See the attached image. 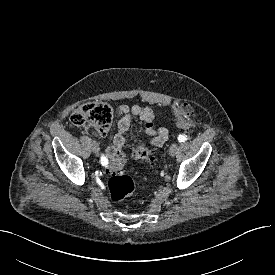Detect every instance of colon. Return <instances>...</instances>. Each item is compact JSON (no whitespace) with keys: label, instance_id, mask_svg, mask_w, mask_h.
<instances>
[{"label":"colon","instance_id":"obj_1","mask_svg":"<svg viewBox=\"0 0 275 275\" xmlns=\"http://www.w3.org/2000/svg\"><path fill=\"white\" fill-rule=\"evenodd\" d=\"M176 125L179 129H187L193 122L194 110L188 103H179L174 107ZM113 120V109L105 102L91 101L78 106L70 115V124L79 127L84 124L94 125L99 132L106 133ZM136 159L150 165L155 163L152 152L143 146L135 149ZM126 161L118 157L111 161L108 166L110 179L108 188L113 202H121L130 197L135 191V184L131 177L124 174Z\"/></svg>","mask_w":275,"mask_h":275}]
</instances>
